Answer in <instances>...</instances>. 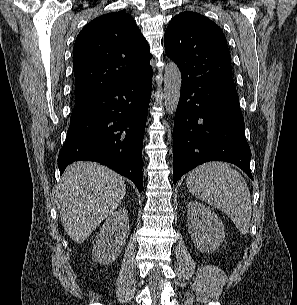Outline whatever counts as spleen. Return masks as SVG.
<instances>
[{
    "mask_svg": "<svg viewBox=\"0 0 297 305\" xmlns=\"http://www.w3.org/2000/svg\"><path fill=\"white\" fill-rule=\"evenodd\" d=\"M186 184L196 198L223 211L242 234L248 232L251 197L238 171L224 162H210L192 170Z\"/></svg>",
    "mask_w": 297,
    "mask_h": 305,
    "instance_id": "spleen-1",
    "label": "spleen"
}]
</instances>
